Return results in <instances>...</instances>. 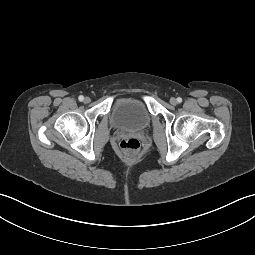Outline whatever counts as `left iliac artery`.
<instances>
[{"mask_svg": "<svg viewBox=\"0 0 255 255\" xmlns=\"http://www.w3.org/2000/svg\"><path fill=\"white\" fill-rule=\"evenodd\" d=\"M177 102H178V103H181V102H182V98L178 97V98H177Z\"/></svg>", "mask_w": 255, "mask_h": 255, "instance_id": "44dca946", "label": "left iliac artery"}]
</instances>
